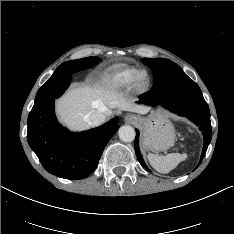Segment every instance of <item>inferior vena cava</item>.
<instances>
[{
  "label": "inferior vena cava",
  "instance_id": "obj_1",
  "mask_svg": "<svg viewBox=\"0 0 234 234\" xmlns=\"http://www.w3.org/2000/svg\"><path fill=\"white\" fill-rule=\"evenodd\" d=\"M105 107L103 110H96L88 113L85 116V120L88 122L91 126H99L105 121V114H104Z\"/></svg>",
  "mask_w": 234,
  "mask_h": 234
}]
</instances>
